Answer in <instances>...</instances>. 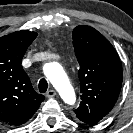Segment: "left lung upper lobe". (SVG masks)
I'll return each mask as SVG.
<instances>
[{"mask_svg": "<svg viewBox=\"0 0 133 133\" xmlns=\"http://www.w3.org/2000/svg\"><path fill=\"white\" fill-rule=\"evenodd\" d=\"M73 46L80 64L81 103L77 118L98 122L113 108L122 84L119 57L110 42L89 26L73 30Z\"/></svg>", "mask_w": 133, "mask_h": 133, "instance_id": "left-lung-upper-lobe-1", "label": "left lung upper lobe"}]
</instances>
